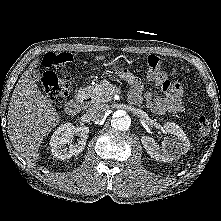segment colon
<instances>
[{
  "instance_id": "5ec220e1",
  "label": "colon",
  "mask_w": 221,
  "mask_h": 221,
  "mask_svg": "<svg viewBox=\"0 0 221 221\" xmlns=\"http://www.w3.org/2000/svg\"><path fill=\"white\" fill-rule=\"evenodd\" d=\"M72 55L69 52L47 53L43 59V66L46 71L42 76V88L44 94L52 100H61L67 96L71 88V72L69 71L72 62ZM148 76L158 84L164 86L168 82L167 75L161 71L163 65L160 57L150 55L147 59ZM54 69L63 71V77H59ZM198 130L202 135L211 131L209 118L202 115L198 118Z\"/></svg>"
}]
</instances>
